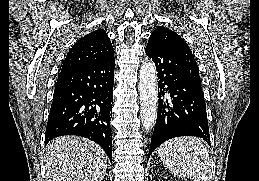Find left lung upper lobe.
<instances>
[{"label":"left lung upper lobe","instance_id":"obj_1","mask_svg":"<svg viewBox=\"0 0 259 181\" xmlns=\"http://www.w3.org/2000/svg\"><path fill=\"white\" fill-rule=\"evenodd\" d=\"M174 40L178 42L179 50L181 52L180 68L182 73L188 77L193 83L201 87L199 68L194 59L192 51L186 44L184 39H182L176 32L165 28L163 26L157 27L151 34L148 43H161L162 40Z\"/></svg>","mask_w":259,"mask_h":181}]
</instances>
